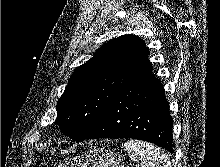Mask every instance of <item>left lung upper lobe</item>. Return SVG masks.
<instances>
[{
    "label": "left lung upper lobe",
    "mask_w": 220,
    "mask_h": 167,
    "mask_svg": "<svg viewBox=\"0 0 220 167\" xmlns=\"http://www.w3.org/2000/svg\"><path fill=\"white\" fill-rule=\"evenodd\" d=\"M150 72L152 65L143 40L132 34L114 38L74 70L57 102L54 123L76 142L83 140L94 130L115 96Z\"/></svg>",
    "instance_id": "obj_1"
}]
</instances>
